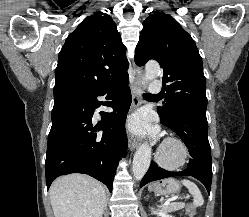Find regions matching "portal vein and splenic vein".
I'll return each instance as SVG.
<instances>
[{
    "instance_id": "portal-vein-and-splenic-vein-1",
    "label": "portal vein and splenic vein",
    "mask_w": 249,
    "mask_h": 217,
    "mask_svg": "<svg viewBox=\"0 0 249 217\" xmlns=\"http://www.w3.org/2000/svg\"><path fill=\"white\" fill-rule=\"evenodd\" d=\"M176 199H178V197H174V198H172V199H170V200H167V201L164 203L163 207L169 205V204L171 203V201L176 200Z\"/></svg>"
}]
</instances>
